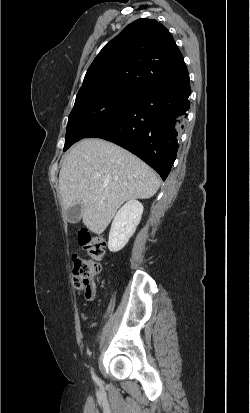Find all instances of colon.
I'll list each match as a JSON object with an SVG mask.
<instances>
[{"instance_id": "colon-1", "label": "colon", "mask_w": 250, "mask_h": 413, "mask_svg": "<svg viewBox=\"0 0 250 413\" xmlns=\"http://www.w3.org/2000/svg\"><path fill=\"white\" fill-rule=\"evenodd\" d=\"M78 241L87 257H74V283L85 298L91 300L94 296V279L101 271L100 262L105 255V241L102 237L93 235L87 229H82L79 232Z\"/></svg>"}]
</instances>
